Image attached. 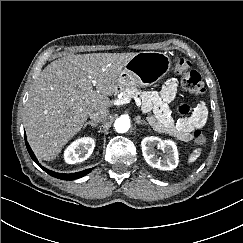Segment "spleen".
Here are the masks:
<instances>
[{"label": "spleen", "mask_w": 243, "mask_h": 243, "mask_svg": "<svg viewBox=\"0 0 243 243\" xmlns=\"http://www.w3.org/2000/svg\"><path fill=\"white\" fill-rule=\"evenodd\" d=\"M201 154V149L200 148H197L195 149L189 156V159H188V162L189 163H192L194 161H196V159L200 156Z\"/></svg>", "instance_id": "3e777b00"}]
</instances>
